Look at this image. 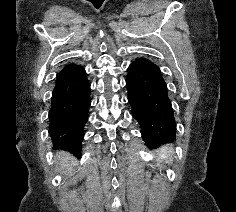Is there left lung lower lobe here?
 Here are the masks:
<instances>
[{"instance_id":"left-lung-lower-lobe-1","label":"left lung lower lobe","mask_w":236,"mask_h":212,"mask_svg":"<svg viewBox=\"0 0 236 212\" xmlns=\"http://www.w3.org/2000/svg\"><path fill=\"white\" fill-rule=\"evenodd\" d=\"M127 72L128 100L146 145L155 147L175 139V118L160 68L142 57L132 62Z\"/></svg>"}]
</instances>
